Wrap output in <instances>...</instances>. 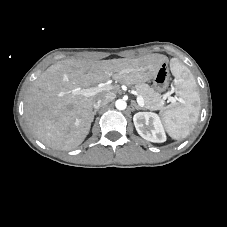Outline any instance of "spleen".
Wrapping results in <instances>:
<instances>
[{
	"instance_id": "obj_1",
	"label": "spleen",
	"mask_w": 227,
	"mask_h": 227,
	"mask_svg": "<svg viewBox=\"0 0 227 227\" xmlns=\"http://www.w3.org/2000/svg\"><path fill=\"white\" fill-rule=\"evenodd\" d=\"M175 76L178 102L169 106L161 113L165 129L175 140L186 138L198 121L200 113V96L196 82L188 68L178 61L171 63Z\"/></svg>"
}]
</instances>
